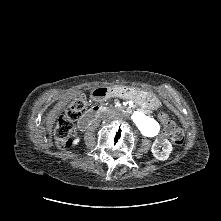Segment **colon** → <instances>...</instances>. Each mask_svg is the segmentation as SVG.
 Wrapping results in <instances>:
<instances>
[{"label":"colon","instance_id":"5ec220e1","mask_svg":"<svg viewBox=\"0 0 221 221\" xmlns=\"http://www.w3.org/2000/svg\"><path fill=\"white\" fill-rule=\"evenodd\" d=\"M87 98L83 94L68 97L64 103V111L58 116L54 127V139L58 147L66 148L71 145L73 133V121L77 119L85 109ZM163 123V133L170 137L172 143L179 146L184 141V131L170 120L166 112L159 114Z\"/></svg>","mask_w":221,"mask_h":221}]
</instances>
